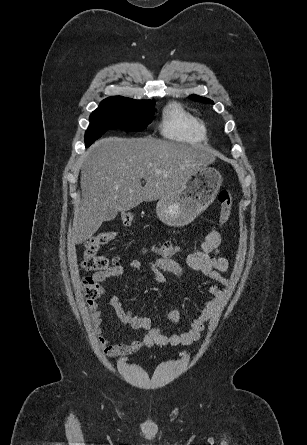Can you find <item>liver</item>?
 Here are the masks:
<instances>
[{
    "label": "liver",
    "mask_w": 307,
    "mask_h": 445,
    "mask_svg": "<svg viewBox=\"0 0 307 445\" xmlns=\"http://www.w3.org/2000/svg\"><path fill=\"white\" fill-rule=\"evenodd\" d=\"M213 160L214 154L203 146L152 136L96 140L81 170L82 198L74 218L73 243L81 245L91 239L108 216L130 210L143 200L180 192L190 174ZM156 170L165 172L156 174Z\"/></svg>",
    "instance_id": "liver-1"
}]
</instances>
